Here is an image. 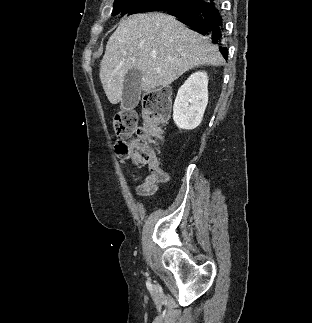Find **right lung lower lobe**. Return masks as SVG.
Instances as JSON below:
<instances>
[{"label":"right lung lower lobe","instance_id":"1","mask_svg":"<svg viewBox=\"0 0 312 323\" xmlns=\"http://www.w3.org/2000/svg\"><path fill=\"white\" fill-rule=\"evenodd\" d=\"M220 6L216 0H189L183 6L168 9L167 12L198 33L209 36L227 58L226 29Z\"/></svg>","mask_w":312,"mask_h":323}]
</instances>
